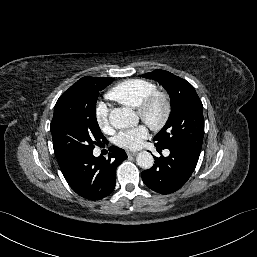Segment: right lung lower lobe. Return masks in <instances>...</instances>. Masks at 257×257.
<instances>
[{
	"mask_svg": "<svg viewBox=\"0 0 257 257\" xmlns=\"http://www.w3.org/2000/svg\"><path fill=\"white\" fill-rule=\"evenodd\" d=\"M108 158L94 157L93 152L71 161L63 175L70 187L80 196L89 200H99L114 189L116 169L127 158L125 151L110 147Z\"/></svg>",
	"mask_w": 257,
	"mask_h": 257,
	"instance_id": "98d812e1",
	"label": "right lung lower lobe"
}]
</instances>
